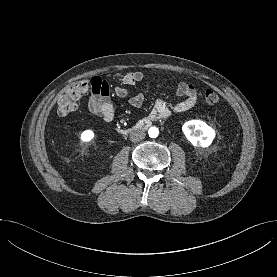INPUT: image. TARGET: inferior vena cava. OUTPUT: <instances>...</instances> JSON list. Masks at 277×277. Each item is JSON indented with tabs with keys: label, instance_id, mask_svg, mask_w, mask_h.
I'll return each instance as SVG.
<instances>
[{
	"label": "inferior vena cava",
	"instance_id": "602c4592",
	"mask_svg": "<svg viewBox=\"0 0 277 277\" xmlns=\"http://www.w3.org/2000/svg\"><path fill=\"white\" fill-rule=\"evenodd\" d=\"M145 132L142 130H133L130 133V140L132 142H139L145 138Z\"/></svg>",
	"mask_w": 277,
	"mask_h": 277
}]
</instances>
